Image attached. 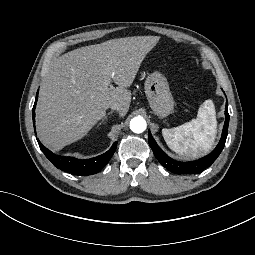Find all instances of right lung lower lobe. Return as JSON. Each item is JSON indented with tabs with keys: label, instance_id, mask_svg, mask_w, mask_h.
Returning <instances> with one entry per match:
<instances>
[{
	"label": "right lung lower lobe",
	"instance_id": "obj_1",
	"mask_svg": "<svg viewBox=\"0 0 255 255\" xmlns=\"http://www.w3.org/2000/svg\"><path fill=\"white\" fill-rule=\"evenodd\" d=\"M38 100V93L36 94V100L33 107V123L35 125V107L36 102ZM39 146L42 150V152L45 154V156L54 164L55 167L58 169H61L62 171L74 174V175H92L95 173H98L100 170H102L105 165L108 163V161L111 159L112 155L114 154L116 148H117V142H115L112 147L105 152L104 154L91 158V159H77L74 157H66V156H60L52 153L47 148H45L40 141L37 139Z\"/></svg>",
	"mask_w": 255,
	"mask_h": 255
}]
</instances>
